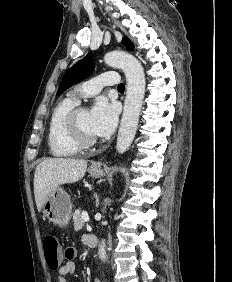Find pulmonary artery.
<instances>
[{
	"label": "pulmonary artery",
	"mask_w": 232,
	"mask_h": 282,
	"mask_svg": "<svg viewBox=\"0 0 232 282\" xmlns=\"http://www.w3.org/2000/svg\"><path fill=\"white\" fill-rule=\"evenodd\" d=\"M119 83L120 79L118 73L115 71H107L100 74L98 77L81 84L77 88L74 98L76 99V95L92 96L97 94L104 86H114Z\"/></svg>",
	"instance_id": "pulmonary-artery-1"
}]
</instances>
